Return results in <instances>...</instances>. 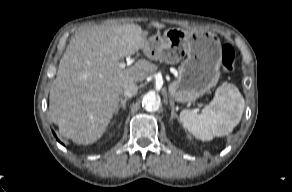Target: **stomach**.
Returning <instances> with one entry per match:
<instances>
[{
	"label": "stomach",
	"instance_id": "0dacf381",
	"mask_svg": "<svg viewBox=\"0 0 292 192\" xmlns=\"http://www.w3.org/2000/svg\"><path fill=\"white\" fill-rule=\"evenodd\" d=\"M144 53L151 59L177 64L176 79L169 85L171 97L190 103L207 93L218 81L222 47L218 37L203 31L167 29L147 39Z\"/></svg>",
	"mask_w": 292,
	"mask_h": 192
}]
</instances>
